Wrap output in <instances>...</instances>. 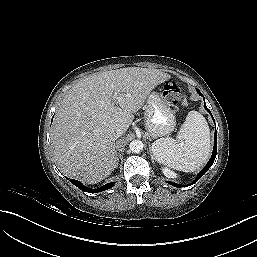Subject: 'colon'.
I'll use <instances>...</instances> for the list:
<instances>
[{
    "mask_svg": "<svg viewBox=\"0 0 257 257\" xmlns=\"http://www.w3.org/2000/svg\"><path fill=\"white\" fill-rule=\"evenodd\" d=\"M164 90L166 97L172 102H176L182 93L180 87L174 83H167L164 87Z\"/></svg>",
    "mask_w": 257,
    "mask_h": 257,
    "instance_id": "obj_1",
    "label": "colon"
}]
</instances>
